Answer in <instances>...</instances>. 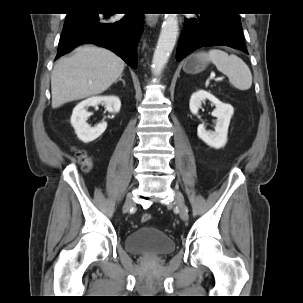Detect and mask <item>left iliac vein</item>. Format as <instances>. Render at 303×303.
Wrapping results in <instances>:
<instances>
[{"instance_id": "1", "label": "left iliac vein", "mask_w": 303, "mask_h": 303, "mask_svg": "<svg viewBox=\"0 0 303 303\" xmlns=\"http://www.w3.org/2000/svg\"><path fill=\"white\" fill-rule=\"evenodd\" d=\"M174 204L177 205L179 208V215L181 219L187 221L189 216H188V211L185 207L184 196L178 190L175 191Z\"/></svg>"}]
</instances>
